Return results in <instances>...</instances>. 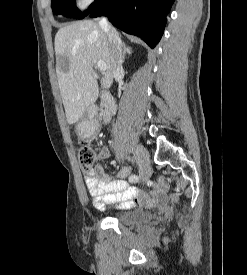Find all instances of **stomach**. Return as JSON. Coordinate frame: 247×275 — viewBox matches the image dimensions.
Returning <instances> with one entry per match:
<instances>
[{
    "instance_id": "0dacf381",
    "label": "stomach",
    "mask_w": 247,
    "mask_h": 275,
    "mask_svg": "<svg viewBox=\"0 0 247 275\" xmlns=\"http://www.w3.org/2000/svg\"><path fill=\"white\" fill-rule=\"evenodd\" d=\"M75 130L78 134H86L89 131V128L86 122H80L77 124Z\"/></svg>"
}]
</instances>
